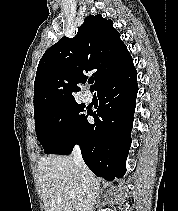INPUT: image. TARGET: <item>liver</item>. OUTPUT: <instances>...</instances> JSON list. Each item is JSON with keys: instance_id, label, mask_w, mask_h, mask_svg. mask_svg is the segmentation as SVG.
Returning a JSON list of instances; mask_svg holds the SVG:
<instances>
[{"instance_id": "1", "label": "liver", "mask_w": 178, "mask_h": 211, "mask_svg": "<svg viewBox=\"0 0 178 211\" xmlns=\"http://www.w3.org/2000/svg\"><path fill=\"white\" fill-rule=\"evenodd\" d=\"M38 172L45 211H82L86 185L72 156L43 157Z\"/></svg>"}]
</instances>
